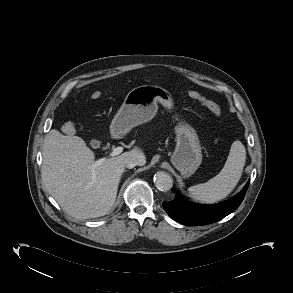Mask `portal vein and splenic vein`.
<instances>
[{
  "instance_id": "obj_1",
  "label": "portal vein and splenic vein",
  "mask_w": 293,
  "mask_h": 293,
  "mask_svg": "<svg viewBox=\"0 0 293 293\" xmlns=\"http://www.w3.org/2000/svg\"><path fill=\"white\" fill-rule=\"evenodd\" d=\"M123 151V147L121 146H118L116 147L115 149L112 150V152L109 154V156L111 157H115V156H118L119 154H121ZM102 163V160H98L95 162L94 166H99L100 164Z\"/></svg>"
}]
</instances>
